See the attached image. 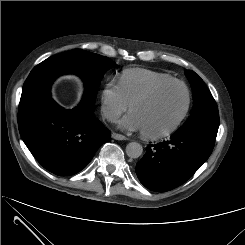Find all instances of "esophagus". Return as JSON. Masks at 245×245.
<instances>
[{"instance_id":"obj_1","label":"esophagus","mask_w":245,"mask_h":245,"mask_svg":"<svg viewBox=\"0 0 245 245\" xmlns=\"http://www.w3.org/2000/svg\"><path fill=\"white\" fill-rule=\"evenodd\" d=\"M111 136L113 139H116V140H127L128 139L126 136L115 133V132H113Z\"/></svg>"}]
</instances>
